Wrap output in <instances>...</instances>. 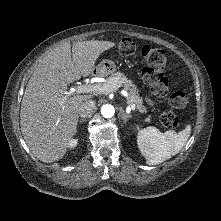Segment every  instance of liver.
I'll return each mask as SVG.
<instances>
[{
    "label": "liver",
    "mask_w": 221,
    "mask_h": 221,
    "mask_svg": "<svg viewBox=\"0 0 221 221\" xmlns=\"http://www.w3.org/2000/svg\"><path fill=\"white\" fill-rule=\"evenodd\" d=\"M110 41L65 42L48 51L28 81L20 110L24 140L40 161L61 159L76 133L79 109L91 95H67V86L94 71ZM72 47V49H71Z\"/></svg>",
    "instance_id": "1"
}]
</instances>
